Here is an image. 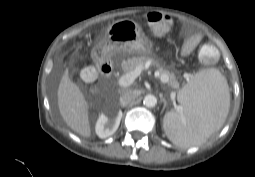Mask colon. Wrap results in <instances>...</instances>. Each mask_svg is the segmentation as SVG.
Returning a JSON list of instances; mask_svg holds the SVG:
<instances>
[{
    "instance_id": "obj_1",
    "label": "colon",
    "mask_w": 255,
    "mask_h": 177,
    "mask_svg": "<svg viewBox=\"0 0 255 177\" xmlns=\"http://www.w3.org/2000/svg\"><path fill=\"white\" fill-rule=\"evenodd\" d=\"M146 21L157 36L165 35L172 26L171 18L158 12L148 13ZM218 56V50L212 43H205L199 49V58L205 63H214L218 59ZM81 75L84 80L93 81L96 77V72L92 67H84L81 71Z\"/></svg>"
}]
</instances>
